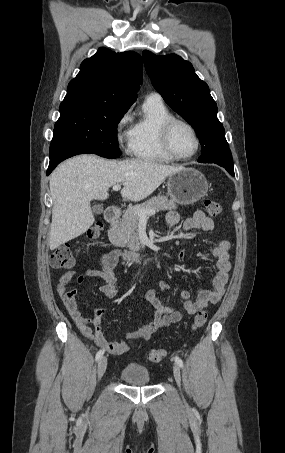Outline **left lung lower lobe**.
I'll use <instances>...</instances> for the list:
<instances>
[{"label":"left lung lower lobe","instance_id":"left-lung-lower-lobe-1","mask_svg":"<svg viewBox=\"0 0 285 453\" xmlns=\"http://www.w3.org/2000/svg\"><path fill=\"white\" fill-rule=\"evenodd\" d=\"M222 167H224L231 175H234V168L233 166H227V165H224V164H221V163H216Z\"/></svg>","mask_w":285,"mask_h":453}]
</instances>
